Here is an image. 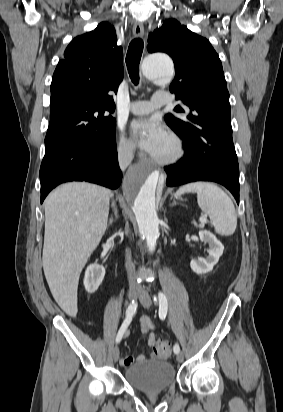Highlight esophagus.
<instances>
[{
  "label": "esophagus",
  "instance_id": "obj_1",
  "mask_svg": "<svg viewBox=\"0 0 283 412\" xmlns=\"http://www.w3.org/2000/svg\"><path fill=\"white\" fill-rule=\"evenodd\" d=\"M133 35H134L136 38H141V37H143V35H144V27H143L142 23L137 22V23L134 24V26H133Z\"/></svg>",
  "mask_w": 283,
  "mask_h": 412
}]
</instances>
